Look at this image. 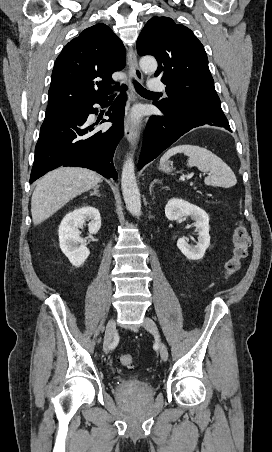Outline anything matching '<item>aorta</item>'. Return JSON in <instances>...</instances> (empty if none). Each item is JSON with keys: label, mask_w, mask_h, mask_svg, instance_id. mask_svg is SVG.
<instances>
[{"label": "aorta", "mask_w": 272, "mask_h": 452, "mask_svg": "<svg viewBox=\"0 0 272 452\" xmlns=\"http://www.w3.org/2000/svg\"><path fill=\"white\" fill-rule=\"evenodd\" d=\"M140 67L145 73H154L157 70V61L154 57L145 56L140 59ZM121 189L128 211L135 217L141 215L140 193L136 182L134 162L129 155L125 161L121 175Z\"/></svg>", "instance_id": "762f6f07"}]
</instances>
